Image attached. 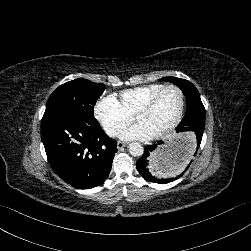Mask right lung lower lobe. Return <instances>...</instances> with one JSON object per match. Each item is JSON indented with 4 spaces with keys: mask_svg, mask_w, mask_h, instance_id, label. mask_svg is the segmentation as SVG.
Masks as SVG:
<instances>
[{
    "mask_svg": "<svg viewBox=\"0 0 251 251\" xmlns=\"http://www.w3.org/2000/svg\"><path fill=\"white\" fill-rule=\"evenodd\" d=\"M41 139L53 171L80 189L101 184L117 152V142L105 134L94 117L70 112H45Z\"/></svg>",
    "mask_w": 251,
    "mask_h": 251,
    "instance_id": "right-lung-lower-lobe-1",
    "label": "right lung lower lobe"
}]
</instances>
